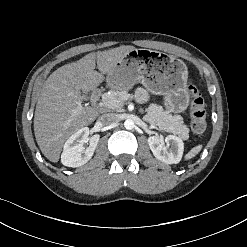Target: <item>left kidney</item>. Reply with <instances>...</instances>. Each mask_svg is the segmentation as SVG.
Returning a JSON list of instances; mask_svg holds the SVG:
<instances>
[{
    "instance_id": "1",
    "label": "left kidney",
    "mask_w": 247,
    "mask_h": 247,
    "mask_svg": "<svg viewBox=\"0 0 247 247\" xmlns=\"http://www.w3.org/2000/svg\"><path fill=\"white\" fill-rule=\"evenodd\" d=\"M147 142L153 155L161 162L177 164L181 161L184 151V144L181 138L174 135H168L164 138V136L158 135L150 136Z\"/></svg>"
}]
</instances>
